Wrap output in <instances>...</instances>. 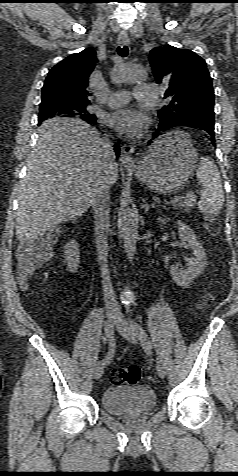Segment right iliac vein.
<instances>
[{"label":"right iliac vein","mask_w":238,"mask_h":476,"mask_svg":"<svg viewBox=\"0 0 238 476\" xmlns=\"http://www.w3.org/2000/svg\"><path fill=\"white\" fill-rule=\"evenodd\" d=\"M118 318V312L115 309H109L107 311V321H106V326L110 327L113 330V327L117 321ZM103 366H97L94 369L93 376L95 379H99L102 374H103Z\"/></svg>","instance_id":"1"}]
</instances>
